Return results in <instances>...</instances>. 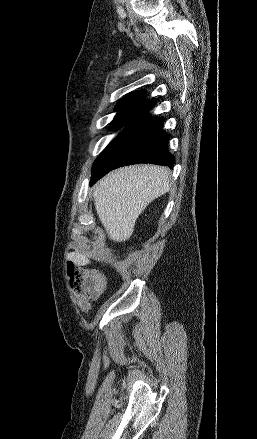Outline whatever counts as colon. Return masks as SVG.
<instances>
[{"instance_id":"5ec220e1","label":"colon","mask_w":257,"mask_h":439,"mask_svg":"<svg viewBox=\"0 0 257 439\" xmlns=\"http://www.w3.org/2000/svg\"><path fill=\"white\" fill-rule=\"evenodd\" d=\"M67 272L70 286L77 295L81 308L86 310L88 300L98 298L104 292L106 279L97 270L77 267L73 263L67 265Z\"/></svg>"}]
</instances>
